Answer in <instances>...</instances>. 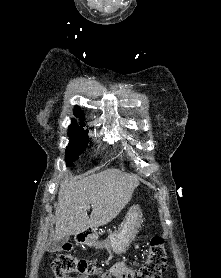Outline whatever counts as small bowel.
Returning <instances> with one entry per match:
<instances>
[{
	"mask_svg": "<svg viewBox=\"0 0 221 278\" xmlns=\"http://www.w3.org/2000/svg\"><path fill=\"white\" fill-rule=\"evenodd\" d=\"M131 271L125 262H118L114 264L109 271H105V275L102 278H111L112 276L116 278H123L122 276ZM73 278V277H70Z\"/></svg>",
	"mask_w": 221,
	"mask_h": 278,
	"instance_id": "1",
	"label": "small bowel"
}]
</instances>
